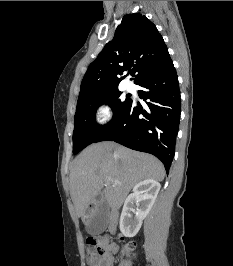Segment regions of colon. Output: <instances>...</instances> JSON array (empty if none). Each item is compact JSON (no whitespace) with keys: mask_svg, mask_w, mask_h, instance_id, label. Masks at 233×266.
Wrapping results in <instances>:
<instances>
[{"mask_svg":"<svg viewBox=\"0 0 233 266\" xmlns=\"http://www.w3.org/2000/svg\"><path fill=\"white\" fill-rule=\"evenodd\" d=\"M111 243L110 238L107 235L92 236L87 239V244L96 252L104 254L107 251L108 245ZM133 243H127L124 246L125 252H130L133 249Z\"/></svg>","mask_w":233,"mask_h":266,"instance_id":"colon-1","label":"colon"}]
</instances>
